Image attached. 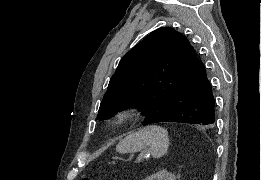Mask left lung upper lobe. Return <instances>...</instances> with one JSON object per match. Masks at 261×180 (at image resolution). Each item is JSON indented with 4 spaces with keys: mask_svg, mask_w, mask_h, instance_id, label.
I'll return each mask as SVG.
<instances>
[{
    "mask_svg": "<svg viewBox=\"0 0 261 180\" xmlns=\"http://www.w3.org/2000/svg\"><path fill=\"white\" fill-rule=\"evenodd\" d=\"M197 61L183 34L170 27L154 30L121 59L97 117L108 119L120 109L136 107L145 115L143 125L153 123Z\"/></svg>",
    "mask_w": 261,
    "mask_h": 180,
    "instance_id": "5c2ea615",
    "label": "left lung upper lobe"
}]
</instances>
